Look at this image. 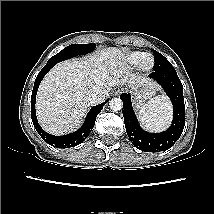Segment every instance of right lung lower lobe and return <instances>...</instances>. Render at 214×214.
Returning a JSON list of instances; mask_svg holds the SVG:
<instances>
[{
  "label": "right lung lower lobe",
  "mask_w": 214,
  "mask_h": 214,
  "mask_svg": "<svg viewBox=\"0 0 214 214\" xmlns=\"http://www.w3.org/2000/svg\"><path fill=\"white\" fill-rule=\"evenodd\" d=\"M53 63H47L42 70L39 72L38 76L35 79L32 96H31V117L33 125L38 132V134L50 145L58 148H69L74 147L82 143L90 134L91 130L94 127L95 119L98 113L103 109V106L107 103L106 100L104 103L99 105L93 106L82 127L73 132L71 134H67L64 136H54L45 132L38 124L35 112V100H36V93L39 87L40 82L42 81L43 77L47 74V72L54 66Z\"/></svg>",
  "instance_id": "1"
}]
</instances>
